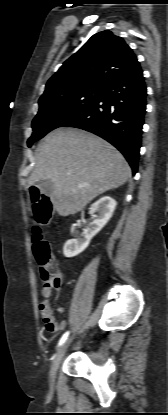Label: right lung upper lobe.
I'll return each instance as SVG.
<instances>
[{
    "mask_svg": "<svg viewBox=\"0 0 168 415\" xmlns=\"http://www.w3.org/2000/svg\"><path fill=\"white\" fill-rule=\"evenodd\" d=\"M138 63L121 37L109 30L96 33L49 79L39 104L79 90L104 89Z\"/></svg>",
    "mask_w": 168,
    "mask_h": 415,
    "instance_id": "cb5924a9",
    "label": "right lung upper lobe"
}]
</instances>
